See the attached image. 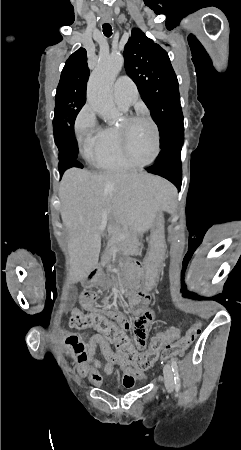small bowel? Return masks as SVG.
<instances>
[{
	"label": "small bowel",
	"instance_id": "1",
	"mask_svg": "<svg viewBox=\"0 0 241 450\" xmlns=\"http://www.w3.org/2000/svg\"><path fill=\"white\" fill-rule=\"evenodd\" d=\"M92 286L94 285H83V288L87 290L81 295L82 306L90 311H102L103 316H107L108 318L107 324H118V333H126L130 324L125 318L130 317V310L120 309L118 311L111 307H104L102 309L96 308L95 303L98 300V295L95 292L88 290L91 289ZM151 304L152 301L149 298L127 299V306L132 309L131 315L134 317L135 323L133 325L134 347H147V332L145 325L151 323L150 317L153 315V312L141 308L149 307ZM74 327L87 328L94 327V325H79ZM60 332L63 334L65 331L62 329ZM104 335L105 333L95 334L87 344L84 343L79 336L74 334L69 335L67 344L71 348L79 372L82 374H89V378L93 383H99L98 378H101V374L99 373L101 362L95 358L96 350L99 349L108 361L104 366L105 373L111 374L114 367L117 366L123 373L124 387L132 389L135 386V381L137 379H144L145 374L137 369H130V361H122L121 356H111L113 350L108 346V342H105Z\"/></svg>",
	"mask_w": 241,
	"mask_h": 450
}]
</instances>
